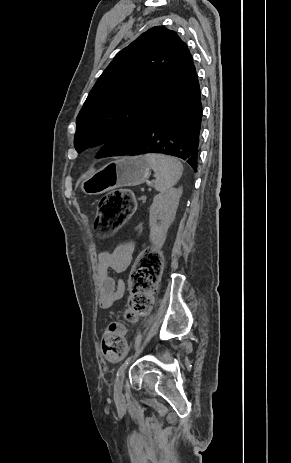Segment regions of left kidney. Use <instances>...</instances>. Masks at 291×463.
I'll use <instances>...</instances> for the list:
<instances>
[{"mask_svg":"<svg viewBox=\"0 0 291 463\" xmlns=\"http://www.w3.org/2000/svg\"><path fill=\"white\" fill-rule=\"evenodd\" d=\"M182 188H171L161 192L153 199L150 206L149 226L150 241L156 248H162L166 240L167 231L175 219Z\"/></svg>","mask_w":291,"mask_h":463,"instance_id":"left-kidney-1","label":"left kidney"}]
</instances>
